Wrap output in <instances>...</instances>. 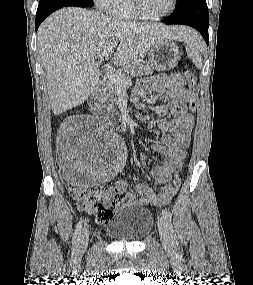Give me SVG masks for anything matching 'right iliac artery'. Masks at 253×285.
I'll return each mask as SVG.
<instances>
[{
    "mask_svg": "<svg viewBox=\"0 0 253 285\" xmlns=\"http://www.w3.org/2000/svg\"><path fill=\"white\" fill-rule=\"evenodd\" d=\"M81 230H82V222L80 221L76 225V229H75L74 236H73V248L74 249H77L78 247L80 236H81Z\"/></svg>",
    "mask_w": 253,
    "mask_h": 285,
    "instance_id": "1",
    "label": "right iliac artery"
}]
</instances>
